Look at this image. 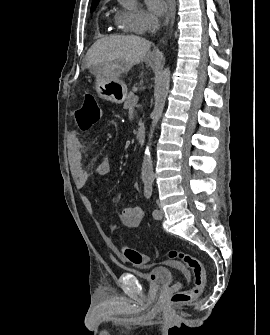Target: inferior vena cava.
<instances>
[{"instance_id": "1", "label": "inferior vena cava", "mask_w": 270, "mask_h": 335, "mask_svg": "<svg viewBox=\"0 0 270 335\" xmlns=\"http://www.w3.org/2000/svg\"><path fill=\"white\" fill-rule=\"evenodd\" d=\"M156 30H158V26H152L151 28L152 34H155Z\"/></svg>"}]
</instances>
